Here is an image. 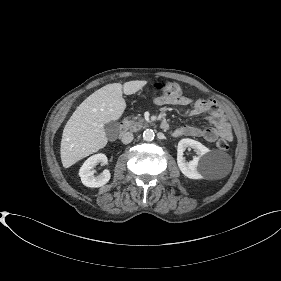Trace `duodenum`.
I'll return each instance as SVG.
<instances>
[{
    "label": "duodenum",
    "instance_id": "duodenum-1",
    "mask_svg": "<svg viewBox=\"0 0 281 281\" xmlns=\"http://www.w3.org/2000/svg\"><path fill=\"white\" fill-rule=\"evenodd\" d=\"M160 127H161L162 129L166 130V129H168L169 124H168L167 121H162V122L160 123ZM126 129H127V124H126V122H124V121L121 122V123H120V133H124V132L126 131Z\"/></svg>",
    "mask_w": 281,
    "mask_h": 281
}]
</instances>
